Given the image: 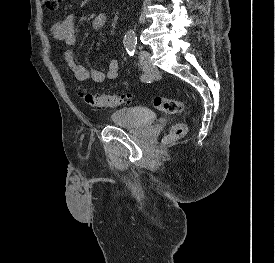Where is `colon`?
<instances>
[{
    "mask_svg": "<svg viewBox=\"0 0 275 263\" xmlns=\"http://www.w3.org/2000/svg\"><path fill=\"white\" fill-rule=\"evenodd\" d=\"M44 6L48 10H56L59 5V0H42ZM79 96L89 106L95 108H111L117 107L131 102L132 95L130 93H105L92 94L83 90H79ZM154 106L158 110L166 114H179L185 110V102L182 100L156 97L154 99ZM188 130V126L184 122H180L172 126L166 136L167 142H172L182 138Z\"/></svg>",
    "mask_w": 275,
    "mask_h": 263,
    "instance_id": "obj_1",
    "label": "colon"
}]
</instances>
